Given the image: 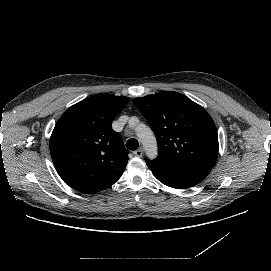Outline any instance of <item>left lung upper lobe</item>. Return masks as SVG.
Returning a JSON list of instances; mask_svg holds the SVG:
<instances>
[{"instance_id": "1", "label": "left lung upper lobe", "mask_w": 271, "mask_h": 271, "mask_svg": "<svg viewBox=\"0 0 271 271\" xmlns=\"http://www.w3.org/2000/svg\"><path fill=\"white\" fill-rule=\"evenodd\" d=\"M134 105L158 141V157L213 168L218 136L210 115L186 96L172 91L138 97Z\"/></svg>"}]
</instances>
